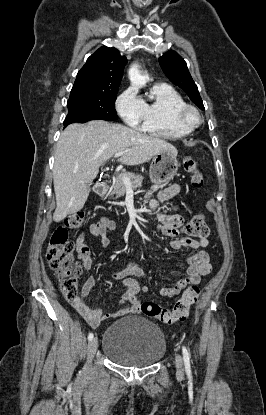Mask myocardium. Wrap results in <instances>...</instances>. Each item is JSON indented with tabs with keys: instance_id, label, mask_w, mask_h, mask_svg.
Instances as JSON below:
<instances>
[{
	"instance_id": "myocardium-1",
	"label": "myocardium",
	"mask_w": 266,
	"mask_h": 415,
	"mask_svg": "<svg viewBox=\"0 0 266 415\" xmlns=\"http://www.w3.org/2000/svg\"><path fill=\"white\" fill-rule=\"evenodd\" d=\"M177 120L186 126L195 127L202 122V116L199 110L190 104H185L176 112Z\"/></svg>"
}]
</instances>
